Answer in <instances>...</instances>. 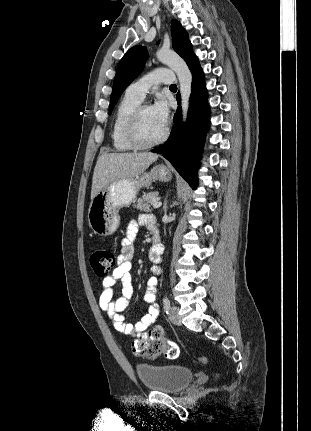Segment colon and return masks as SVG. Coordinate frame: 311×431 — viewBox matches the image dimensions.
I'll list each match as a JSON object with an SVG mask.
<instances>
[{"mask_svg":"<svg viewBox=\"0 0 311 431\" xmlns=\"http://www.w3.org/2000/svg\"><path fill=\"white\" fill-rule=\"evenodd\" d=\"M90 264L98 277H106L115 265V255L108 248H96L90 254ZM132 352L139 356L157 358L164 355L168 358L179 356V347L172 341H158L153 339L137 340L131 345ZM199 364H206V357L198 358Z\"/></svg>","mask_w":311,"mask_h":431,"instance_id":"obj_1","label":"colon"}]
</instances>
